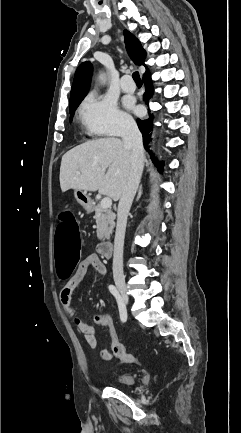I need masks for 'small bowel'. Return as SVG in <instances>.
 Here are the masks:
<instances>
[{"mask_svg":"<svg viewBox=\"0 0 241 433\" xmlns=\"http://www.w3.org/2000/svg\"><path fill=\"white\" fill-rule=\"evenodd\" d=\"M95 269L99 274L106 275L107 268L96 254L86 255L79 263L73 275L65 282L60 293V301L67 315L73 318V323L76 328L83 334L86 343L91 348H96L98 341L94 327L88 325L81 318L76 316V310L72 303V294L77 286L84 279L89 269ZM100 319L97 320V325L108 328L111 338V344L119 340L113 326L112 317L109 314H100ZM96 320V319H94ZM101 356L104 360H110L113 357L112 351L103 349Z\"/></svg>","mask_w":241,"mask_h":433,"instance_id":"obj_1","label":"small bowel"}]
</instances>
